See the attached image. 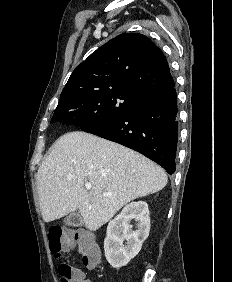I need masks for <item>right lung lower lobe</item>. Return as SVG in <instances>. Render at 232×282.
Returning <instances> with one entry per match:
<instances>
[{
  "mask_svg": "<svg viewBox=\"0 0 232 282\" xmlns=\"http://www.w3.org/2000/svg\"><path fill=\"white\" fill-rule=\"evenodd\" d=\"M175 84L145 96L139 105L111 121L83 131L129 147L173 174L178 139Z\"/></svg>",
  "mask_w": 232,
  "mask_h": 282,
  "instance_id": "obj_1",
  "label": "right lung lower lobe"
}]
</instances>
